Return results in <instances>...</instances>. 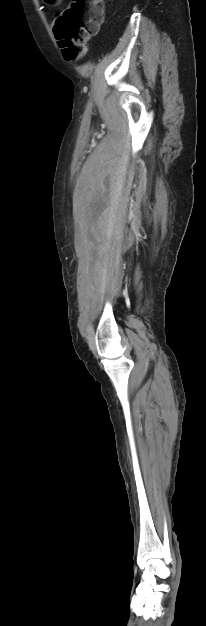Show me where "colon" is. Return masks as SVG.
I'll return each instance as SVG.
<instances>
[{"instance_id":"colon-1","label":"colon","mask_w":206,"mask_h":626,"mask_svg":"<svg viewBox=\"0 0 206 626\" xmlns=\"http://www.w3.org/2000/svg\"><path fill=\"white\" fill-rule=\"evenodd\" d=\"M45 1L49 4L60 2ZM103 18L102 0H71L68 7L56 14L53 31L67 60L82 56L85 43L98 32Z\"/></svg>"}]
</instances>
